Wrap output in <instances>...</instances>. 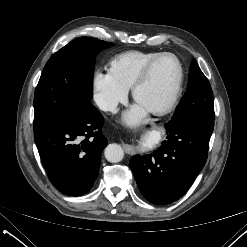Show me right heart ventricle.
I'll return each mask as SVG.
<instances>
[{
    "instance_id": "e07e8e85",
    "label": "right heart ventricle",
    "mask_w": 247,
    "mask_h": 247,
    "mask_svg": "<svg viewBox=\"0 0 247 247\" xmlns=\"http://www.w3.org/2000/svg\"><path fill=\"white\" fill-rule=\"evenodd\" d=\"M158 52L127 51L115 56L109 63V72L127 90L130 89L144 66Z\"/></svg>"
}]
</instances>
